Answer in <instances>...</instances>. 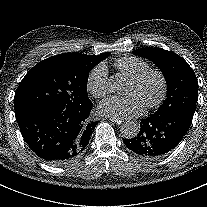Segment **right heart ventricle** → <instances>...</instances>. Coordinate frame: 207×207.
<instances>
[{
	"instance_id": "e07e8e85",
	"label": "right heart ventricle",
	"mask_w": 207,
	"mask_h": 207,
	"mask_svg": "<svg viewBox=\"0 0 207 207\" xmlns=\"http://www.w3.org/2000/svg\"><path fill=\"white\" fill-rule=\"evenodd\" d=\"M115 67L130 79L149 69V64L135 56H125L115 62Z\"/></svg>"
}]
</instances>
